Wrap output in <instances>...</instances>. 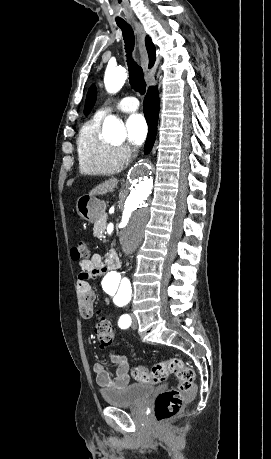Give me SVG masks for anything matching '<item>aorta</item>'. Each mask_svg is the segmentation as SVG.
<instances>
[{"mask_svg": "<svg viewBox=\"0 0 271 459\" xmlns=\"http://www.w3.org/2000/svg\"><path fill=\"white\" fill-rule=\"evenodd\" d=\"M127 78L123 67L109 68L105 72L104 84L109 93L118 92ZM103 136L109 139H122L125 130L114 116H108L103 123ZM152 164L149 161L136 163L128 172L127 183L119 200L121 213L120 244L126 255L132 254L144 238L146 225L152 215L151 193L153 189ZM102 288L108 294L117 291H130L128 279L121 273L111 270L102 279Z\"/></svg>", "mask_w": 271, "mask_h": 459, "instance_id": "aorta-1", "label": "aorta"}]
</instances>
